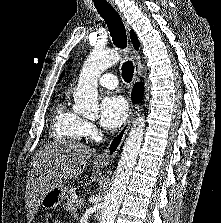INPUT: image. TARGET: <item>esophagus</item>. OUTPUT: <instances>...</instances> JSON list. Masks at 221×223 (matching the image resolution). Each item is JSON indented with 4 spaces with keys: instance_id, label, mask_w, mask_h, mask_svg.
<instances>
[{
    "instance_id": "esophagus-1",
    "label": "esophagus",
    "mask_w": 221,
    "mask_h": 223,
    "mask_svg": "<svg viewBox=\"0 0 221 223\" xmlns=\"http://www.w3.org/2000/svg\"><path fill=\"white\" fill-rule=\"evenodd\" d=\"M108 1L115 8V10L118 12L127 31H129V26L126 22L125 17L123 16V13L119 10L118 6L116 5V3L113 0H108ZM128 49H129L130 56H131V59L134 64L133 79H134V82H137V81H139L140 75H141L140 56H139V53L132 46L131 42L128 43ZM136 112H137L136 105H132L130 108L128 118L124 122L120 131L113 137V139L108 144L107 148L97 156L96 160L98 163L108 164V163L112 162L113 159L116 157V155H117V153L125 139V136L131 126V123L135 117Z\"/></svg>"
}]
</instances>
